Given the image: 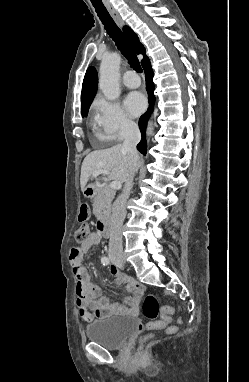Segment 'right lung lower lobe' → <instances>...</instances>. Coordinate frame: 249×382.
Instances as JSON below:
<instances>
[{
  "label": "right lung lower lobe",
  "mask_w": 249,
  "mask_h": 382,
  "mask_svg": "<svg viewBox=\"0 0 249 382\" xmlns=\"http://www.w3.org/2000/svg\"><path fill=\"white\" fill-rule=\"evenodd\" d=\"M143 69L145 71V77H146V89L148 91V99H149V104L150 108L146 113H144L140 119H139V128L142 134V139L141 142L137 145L138 150L142 154H146V148H147V143L145 140V129L147 125V120L149 119L151 113L153 112L154 108V103H155V96H154V86L152 82V77H153V71L151 68V63L149 58L142 63Z\"/></svg>",
  "instance_id": "98d812e1"
}]
</instances>
